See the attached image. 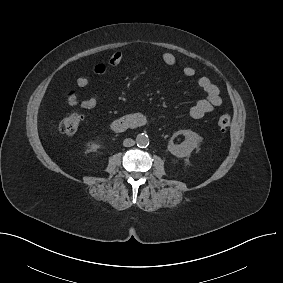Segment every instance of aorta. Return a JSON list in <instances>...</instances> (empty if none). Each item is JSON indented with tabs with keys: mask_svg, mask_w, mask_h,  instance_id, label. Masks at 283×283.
<instances>
[{
	"mask_svg": "<svg viewBox=\"0 0 283 283\" xmlns=\"http://www.w3.org/2000/svg\"><path fill=\"white\" fill-rule=\"evenodd\" d=\"M136 143L139 147H147L149 145V137L146 134H138L136 137Z\"/></svg>",
	"mask_w": 283,
	"mask_h": 283,
	"instance_id": "obj_1",
	"label": "aorta"
}]
</instances>
